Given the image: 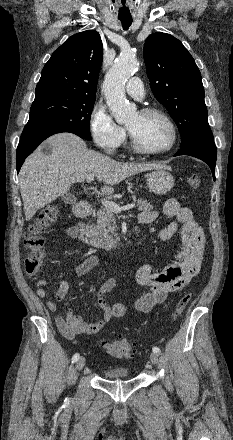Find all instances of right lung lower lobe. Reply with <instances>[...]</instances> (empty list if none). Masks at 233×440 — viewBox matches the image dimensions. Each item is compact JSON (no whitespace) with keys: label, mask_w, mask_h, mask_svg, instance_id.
Masks as SVG:
<instances>
[{"label":"right lung lower lobe","mask_w":233,"mask_h":440,"mask_svg":"<svg viewBox=\"0 0 233 440\" xmlns=\"http://www.w3.org/2000/svg\"><path fill=\"white\" fill-rule=\"evenodd\" d=\"M61 132H70L80 136L75 130L69 128L26 125L17 147V172H19L25 158L31 154L43 140L53 134ZM80 137L83 138L82 136Z\"/></svg>","instance_id":"obj_1"}]
</instances>
